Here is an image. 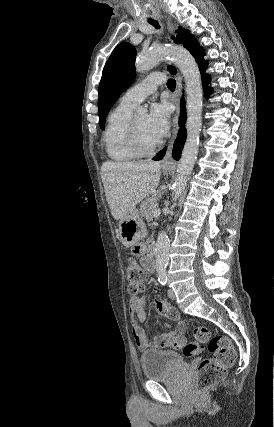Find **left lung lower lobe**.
<instances>
[{"instance_id":"0a47b994","label":"left lung lower lobe","mask_w":274,"mask_h":427,"mask_svg":"<svg viewBox=\"0 0 274 427\" xmlns=\"http://www.w3.org/2000/svg\"><path fill=\"white\" fill-rule=\"evenodd\" d=\"M190 53L195 57L198 65H199L200 71L202 73L203 82L207 83L209 81V79L207 78L206 75L203 74V72L205 71V68H206V62L203 59V56L205 54L204 49L201 48L197 44L192 50H190ZM181 107H182L181 108V118H180L181 121L179 122V124L181 126H184V121L186 120V112H185L184 101L181 102ZM185 140H186V130L184 127H182L179 130L178 137H177L176 142L174 144V150H173V158L174 159L178 160L180 158V154H181V151L183 149V145H184ZM165 151H166V148H164L162 151H160L158 153V155L153 158V160H160L161 158H163V156L165 155Z\"/></svg>"}]
</instances>
